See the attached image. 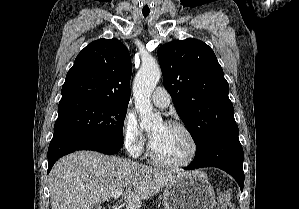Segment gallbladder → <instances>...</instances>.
Returning <instances> with one entry per match:
<instances>
[{"label":"gallbladder","instance_id":"bac80fb5","mask_svg":"<svg viewBox=\"0 0 299 209\" xmlns=\"http://www.w3.org/2000/svg\"><path fill=\"white\" fill-rule=\"evenodd\" d=\"M91 209H102V208L99 207L98 205H95V204H94V205L91 206Z\"/></svg>","mask_w":299,"mask_h":209}]
</instances>
